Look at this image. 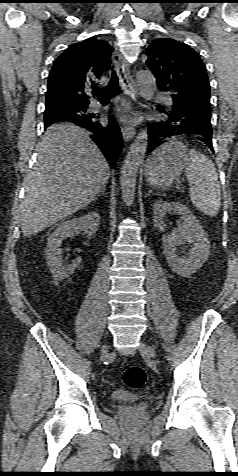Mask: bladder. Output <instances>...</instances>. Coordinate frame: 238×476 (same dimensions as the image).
Wrapping results in <instances>:
<instances>
[{
	"label": "bladder",
	"instance_id": "1",
	"mask_svg": "<svg viewBox=\"0 0 238 476\" xmlns=\"http://www.w3.org/2000/svg\"><path fill=\"white\" fill-rule=\"evenodd\" d=\"M140 398L141 395L125 389H115L109 395V399L112 402H134L139 400Z\"/></svg>",
	"mask_w": 238,
	"mask_h": 476
}]
</instances>
